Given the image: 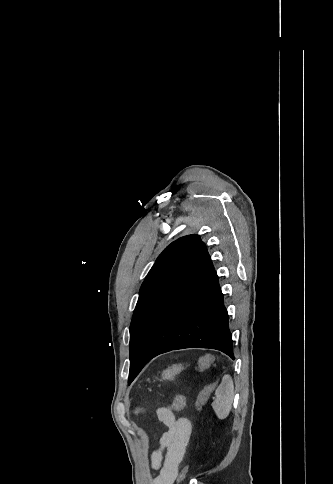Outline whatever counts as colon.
<instances>
[{
	"mask_svg": "<svg viewBox=\"0 0 333 484\" xmlns=\"http://www.w3.org/2000/svg\"><path fill=\"white\" fill-rule=\"evenodd\" d=\"M212 364V358L209 356L203 357L199 360L198 365H197V370L203 371L207 369L210 365ZM218 384V381H213L212 383L206 385L204 388H202L197 396V402L196 406L198 409H200L204 403L206 402L207 398L210 396V394L214 391ZM186 404V397L183 394H177L172 403L170 404L169 409L174 410V411H179L182 410L185 407ZM188 472V467H184L181 472L178 475V482H181L186 474Z\"/></svg>",
	"mask_w": 333,
	"mask_h": 484,
	"instance_id": "obj_1",
	"label": "colon"
}]
</instances>
